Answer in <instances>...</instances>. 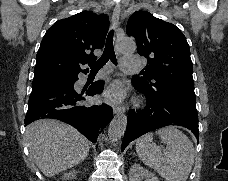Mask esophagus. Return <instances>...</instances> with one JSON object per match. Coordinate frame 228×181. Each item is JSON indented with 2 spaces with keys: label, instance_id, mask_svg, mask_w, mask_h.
<instances>
[{
  "label": "esophagus",
  "instance_id": "obj_1",
  "mask_svg": "<svg viewBox=\"0 0 228 181\" xmlns=\"http://www.w3.org/2000/svg\"><path fill=\"white\" fill-rule=\"evenodd\" d=\"M120 12H121V8H120V5L117 4L113 10V15H112V22H113V25H117L118 24V21H119V17H120ZM122 31V28H117V31L116 33L118 34L119 32ZM120 53H118L119 55ZM125 110V108L123 106H115L113 108V112L114 114H120V113H123Z\"/></svg>",
  "mask_w": 228,
  "mask_h": 181
}]
</instances>
